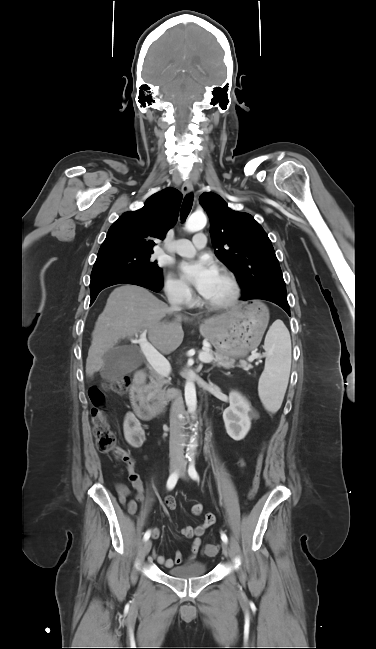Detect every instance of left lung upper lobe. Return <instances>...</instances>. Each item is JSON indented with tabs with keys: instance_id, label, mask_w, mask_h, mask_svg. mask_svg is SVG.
<instances>
[{
	"instance_id": "5c2ea615",
	"label": "left lung upper lobe",
	"mask_w": 376,
	"mask_h": 649,
	"mask_svg": "<svg viewBox=\"0 0 376 649\" xmlns=\"http://www.w3.org/2000/svg\"><path fill=\"white\" fill-rule=\"evenodd\" d=\"M199 201L210 218V233L216 256L236 271L244 285L243 299L266 291L287 298L286 286L272 243L248 213L231 210L212 192Z\"/></svg>"
}]
</instances>
